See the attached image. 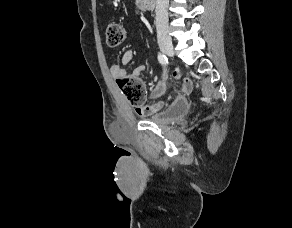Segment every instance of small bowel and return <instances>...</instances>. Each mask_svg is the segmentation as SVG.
Segmentation results:
<instances>
[{
  "label": "small bowel",
  "instance_id": "c3829d8e",
  "mask_svg": "<svg viewBox=\"0 0 292 228\" xmlns=\"http://www.w3.org/2000/svg\"><path fill=\"white\" fill-rule=\"evenodd\" d=\"M134 58V53L131 50L126 51L121 58L120 63H115L111 66L110 71L113 77L116 79L122 78L127 76V71L125 69V66L129 64ZM145 70L144 65H138L133 70V75L135 77H140L143 71ZM181 77V71L180 69H175L173 71V79L177 80ZM167 79V71L164 69L161 74V83L155 87V89L151 92L149 98L152 100L157 99L161 96V94L164 91L165 85L164 82ZM193 89V83L188 77H184L182 81V86L178 93L173 98V103H177L181 100H183V97L185 95H188L191 93ZM166 107V104L162 101L156 102L151 106L147 107H140L136 109L137 114L141 116H152L160 111H162Z\"/></svg>",
  "mask_w": 292,
  "mask_h": 228
}]
</instances>
